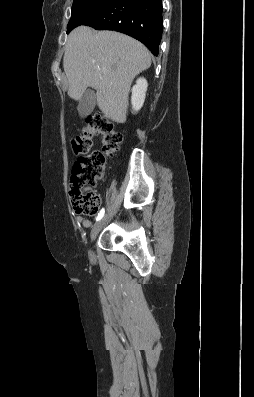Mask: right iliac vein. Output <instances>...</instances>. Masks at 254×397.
Segmentation results:
<instances>
[{"mask_svg":"<svg viewBox=\"0 0 254 397\" xmlns=\"http://www.w3.org/2000/svg\"><path fill=\"white\" fill-rule=\"evenodd\" d=\"M106 220V216H104L103 218H101L92 228L91 230V234H90V240L91 242H93L95 240V238L97 237V235L99 234V232L101 231L104 223ZM89 254L90 256H93V251L90 249L89 250Z\"/></svg>","mask_w":254,"mask_h":397,"instance_id":"1","label":"right iliac vein"}]
</instances>
